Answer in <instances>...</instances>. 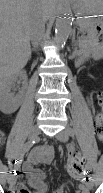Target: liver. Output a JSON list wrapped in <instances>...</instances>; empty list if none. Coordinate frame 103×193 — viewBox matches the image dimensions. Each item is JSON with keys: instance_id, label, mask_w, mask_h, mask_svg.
<instances>
[{"instance_id": "1", "label": "liver", "mask_w": 103, "mask_h": 193, "mask_svg": "<svg viewBox=\"0 0 103 193\" xmlns=\"http://www.w3.org/2000/svg\"><path fill=\"white\" fill-rule=\"evenodd\" d=\"M56 0H1V75L19 72L31 56L29 27L33 14L54 12Z\"/></svg>"}]
</instances>
